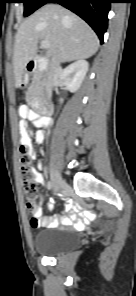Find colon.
<instances>
[{"label":"colon","instance_id":"1","mask_svg":"<svg viewBox=\"0 0 136 296\" xmlns=\"http://www.w3.org/2000/svg\"><path fill=\"white\" fill-rule=\"evenodd\" d=\"M21 174H22V190L25 197L27 209L33 213L32 222H36L34 219V213L36 212L37 203V179L33 168V154L30 149V145L23 143L21 146Z\"/></svg>","mask_w":136,"mask_h":296}]
</instances>
